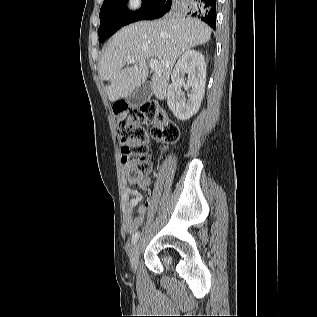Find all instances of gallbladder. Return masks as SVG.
<instances>
[{"label": "gallbladder", "mask_w": 317, "mask_h": 317, "mask_svg": "<svg viewBox=\"0 0 317 317\" xmlns=\"http://www.w3.org/2000/svg\"><path fill=\"white\" fill-rule=\"evenodd\" d=\"M151 94V83L145 82L129 95L127 101L131 106H139L140 104L146 102L150 98Z\"/></svg>", "instance_id": "1"}]
</instances>
